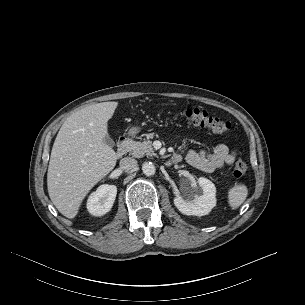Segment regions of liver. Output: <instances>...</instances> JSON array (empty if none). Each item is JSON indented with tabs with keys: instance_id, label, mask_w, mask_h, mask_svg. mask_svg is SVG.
I'll return each instance as SVG.
<instances>
[{
	"instance_id": "liver-1",
	"label": "liver",
	"mask_w": 305,
	"mask_h": 305,
	"mask_svg": "<svg viewBox=\"0 0 305 305\" xmlns=\"http://www.w3.org/2000/svg\"><path fill=\"white\" fill-rule=\"evenodd\" d=\"M118 102L92 104L73 113L61 126L52 147L47 187L51 201L75 218L87 193L116 165L115 151L103 142Z\"/></svg>"
}]
</instances>
